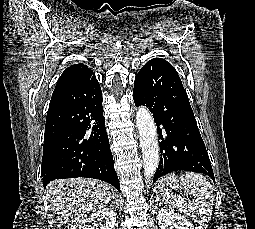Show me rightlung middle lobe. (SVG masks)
Masks as SVG:
<instances>
[{
    "label": "right lung middle lobe",
    "mask_w": 255,
    "mask_h": 229,
    "mask_svg": "<svg viewBox=\"0 0 255 229\" xmlns=\"http://www.w3.org/2000/svg\"><path fill=\"white\" fill-rule=\"evenodd\" d=\"M56 136H57V131L56 130L45 131L43 156L47 153L48 149L50 148V146L54 142Z\"/></svg>",
    "instance_id": "right-lung-middle-lobe-1"
}]
</instances>
